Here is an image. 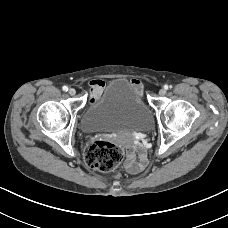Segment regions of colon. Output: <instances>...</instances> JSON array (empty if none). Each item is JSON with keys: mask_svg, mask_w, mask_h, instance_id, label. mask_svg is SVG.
Masks as SVG:
<instances>
[{"mask_svg": "<svg viewBox=\"0 0 228 228\" xmlns=\"http://www.w3.org/2000/svg\"><path fill=\"white\" fill-rule=\"evenodd\" d=\"M124 158V150L108 141L91 143L84 154L86 164L95 170L109 172L115 169Z\"/></svg>", "mask_w": 228, "mask_h": 228, "instance_id": "1", "label": "colon"}]
</instances>
